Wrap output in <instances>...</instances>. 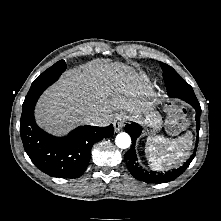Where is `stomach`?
Instances as JSON below:
<instances>
[{"label": "stomach", "instance_id": "0dacf381", "mask_svg": "<svg viewBox=\"0 0 221 221\" xmlns=\"http://www.w3.org/2000/svg\"><path fill=\"white\" fill-rule=\"evenodd\" d=\"M143 123L151 129L152 133H155L158 130H160L162 126L161 117L155 113L147 115L144 118Z\"/></svg>", "mask_w": 221, "mask_h": 221}]
</instances>
